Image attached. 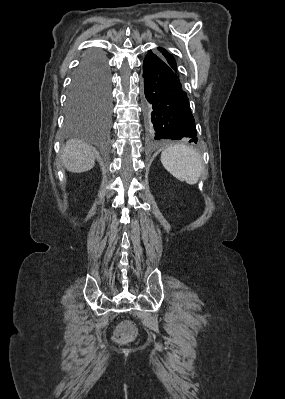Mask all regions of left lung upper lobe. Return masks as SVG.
<instances>
[{"label":"left lung upper lobe","mask_w":285,"mask_h":399,"mask_svg":"<svg viewBox=\"0 0 285 399\" xmlns=\"http://www.w3.org/2000/svg\"><path fill=\"white\" fill-rule=\"evenodd\" d=\"M158 49L167 60H169L174 66H176V61L171 54H169L164 48L159 47Z\"/></svg>","instance_id":"obj_1"}]
</instances>
